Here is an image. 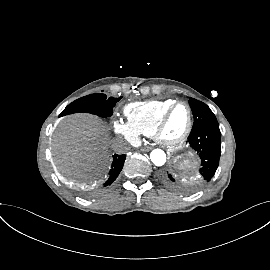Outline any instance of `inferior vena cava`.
<instances>
[{
  "label": "inferior vena cava",
  "instance_id": "602c4592",
  "mask_svg": "<svg viewBox=\"0 0 270 270\" xmlns=\"http://www.w3.org/2000/svg\"><path fill=\"white\" fill-rule=\"evenodd\" d=\"M112 148L118 153H124L130 149V146L123 139H116L112 144Z\"/></svg>",
  "mask_w": 270,
  "mask_h": 270
}]
</instances>
